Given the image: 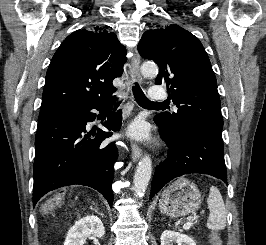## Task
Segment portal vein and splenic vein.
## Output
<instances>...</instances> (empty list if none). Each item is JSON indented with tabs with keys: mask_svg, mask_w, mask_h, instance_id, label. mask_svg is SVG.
Masks as SVG:
<instances>
[{
	"mask_svg": "<svg viewBox=\"0 0 266 245\" xmlns=\"http://www.w3.org/2000/svg\"><path fill=\"white\" fill-rule=\"evenodd\" d=\"M193 223H191V221H189V223H185V225H183V229H185V231H187V229H190V227H192Z\"/></svg>",
	"mask_w": 266,
	"mask_h": 245,
	"instance_id": "portal-vein-and-splenic-vein-1",
	"label": "portal vein and splenic vein"
}]
</instances>
